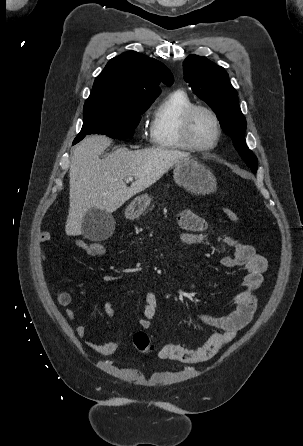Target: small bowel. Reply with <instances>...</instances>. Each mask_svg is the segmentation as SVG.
<instances>
[{"label": "small bowel", "instance_id": "obj_1", "mask_svg": "<svg viewBox=\"0 0 303 446\" xmlns=\"http://www.w3.org/2000/svg\"><path fill=\"white\" fill-rule=\"evenodd\" d=\"M178 222L182 229L179 237L182 244L194 245L215 237L232 248L231 254L222 257V265L228 268L240 267L246 271L243 279L244 289L235 297V308L232 312L225 316H212L208 314L198 316L205 325L213 329V333L203 346L188 349L178 344L167 343L159 351V357L165 360L199 363L215 356L251 321L257 304L256 291L263 282V274L267 270L268 263L264 256L256 253L254 247L211 228L203 218L189 210H184L179 214ZM51 238L52 236L49 232H43L39 236V241L46 243ZM72 240L79 248L85 251L88 250L89 243L79 238H73ZM40 258L43 262L46 260L43 252H41ZM52 290L57 302L61 306L68 307L71 305L73 301V289L71 287L66 290H61L58 286L53 285ZM156 307L157 296L154 292L148 291L145 295L143 316L138 322L141 328L146 329L150 327L156 313ZM103 309L107 317H114L115 310L111 301H107ZM66 317L69 320H74L76 318V312L73 309H67ZM75 332L79 338L85 337L87 334L86 325H78ZM85 346L95 353L109 355L118 349L119 342L95 343L85 341Z\"/></svg>", "mask_w": 303, "mask_h": 446}]
</instances>
